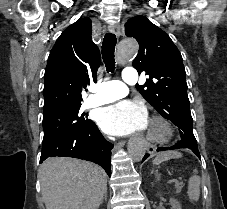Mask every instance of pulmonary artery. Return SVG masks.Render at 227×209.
<instances>
[{"label":"pulmonary artery","instance_id":"pulmonary-artery-1","mask_svg":"<svg viewBox=\"0 0 227 209\" xmlns=\"http://www.w3.org/2000/svg\"><path fill=\"white\" fill-rule=\"evenodd\" d=\"M137 71H133L132 66H127L123 71V81H117L122 84H114L113 82H95V87H90L86 92L88 96L86 102L92 106L104 105L112 101L118 100L127 95L129 84L136 83ZM95 92H102L96 93Z\"/></svg>","mask_w":227,"mask_h":209}]
</instances>
